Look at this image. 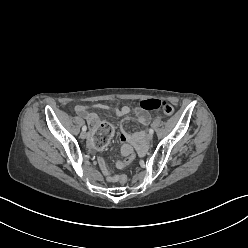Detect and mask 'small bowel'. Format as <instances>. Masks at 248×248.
<instances>
[{
    "label": "small bowel",
    "mask_w": 248,
    "mask_h": 248,
    "mask_svg": "<svg viewBox=\"0 0 248 248\" xmlns=\"http://www.w3.org/2000/svg\"><path fill=\"white\" fill-rule=\"evenodd\" d=\"M94 109L98 110H111V108L108 105L97 103L93 105ZM75 112L85 118H88L92 116L89 112L88 107L86 106H76ZM114 112L118 116H123L125 118H135L137 119L142 125H148L152 118L151 115L147 112L142 110L141 108H135L134 110H131L127 106L117 107L114 108ZM146 133L145 131H140L134 134L127 133L123 128L121 129L119 140L123 143L121 152L123 155H128L129 150H133V148H137L138 150L144 149L145 140H146ZM89 144L90 146H94V140L92 137L89 138ZM121 162L117 163V166H121ZM100 165L107 176V181H115V178L112 177V172L110 168L106 165L104 160H100Z\"/></svg>",
    "instance_id": "1"
}]
</instances>
